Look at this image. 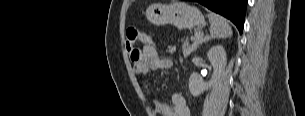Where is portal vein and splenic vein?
<instances>
[{
	"instance_id": "1",
	"label": "portal vein and splenic vein",
	"mask_w": 305,
	"mask_h": 116,
	"mask_svg": "<svg viewBox=\"0 0 305 116\" xmlns=\"http://www.w3.org/2000/svg\"><path fill=\"white\" fill-rule=\"evenodd\" d=\"M199 37H200V33H197V32H196V33H195V38L199 40ZM196 43H197V42H195V44H196Z\"/></svg>"
}]
</instances>
